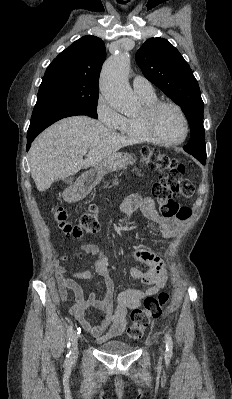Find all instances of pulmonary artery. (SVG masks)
Returning <instances> with one entry per match:
<instances>
[{
	"mask_svg": "<svg viewBox=\"0 0 232 399\" xmlns=\"http://www.w3.org/2000/svg\"><path fill=\"white\" fill-rule=\"evenodd\" d=\"M131 84H134V88H139L137 91L138 96H154V83L144 81L143 73H134L133 77H131Z\"/></svg>",
	"mask_w": 232,
	"mask_h": 399,
	"instance_id": "pulmonary-artery-1",
	"label": "pulmonary artery"
}]
</instances>
